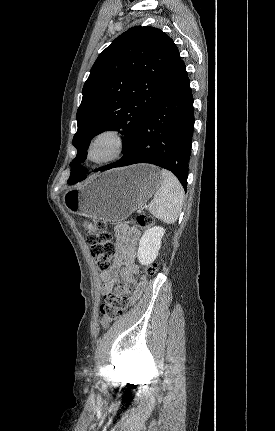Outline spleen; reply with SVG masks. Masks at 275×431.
<instances>
[{
	"mask_svg": "<svg viewBox=\"0 0 275 431\" xmlns=\"http://www.w3.org/2000/svg\"><path fill=\"white\" fill-rule=\"evenodd\" d=\"M162 182L149 204V211L165 223L177 221L183 205L184 192L179 180L169 171H160Z\"/></svg>",
	"mask_w": 275,
	"mask_h": 431,
	"instance_id": "1",
	"label": "spleen"
}]
</instances>
